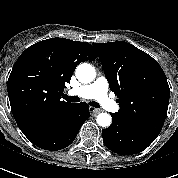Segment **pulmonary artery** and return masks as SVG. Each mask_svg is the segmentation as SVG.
<instances>
[{"label":"pulmonary artery","mask_w":178,"mask_h":178,"mask_svg":"<svg viewBox=\"0 0 178 178\" xmlns=\"http://www.w3.org/2000/svg\"><path fill=\"white\" fill-rule=\"evenodd\" d=\"M108 90V81L105 77L101 76L91 84L69 89L68 94L85 99H96L105 109L109 111H117L118 105L111 98H109Z\"/></svg>","instance_id":"1"}]
</instances>
